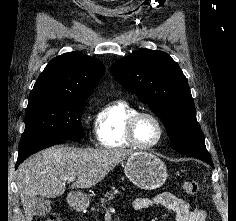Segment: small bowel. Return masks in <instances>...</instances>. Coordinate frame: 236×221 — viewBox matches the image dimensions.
Listing matches in <instances>:
<instances>
[{"label": "small bowel", "mask_w": 236, "mask_h": 221, "mask_svg": "<svg viewBox=\"0 0 236 221\" xmlns=\"http://www.w3.org/2000/svg\"><path fill=\"white\" fill-rule=\"evenodd\" d=\"M153 206H161L175 213L176 221H207L206 212L200 208H191L189 203L172 193H161L154 198L138 197L133 208L142 211Z\"/></svg>", "instance_id": "1"}]
</instances>
